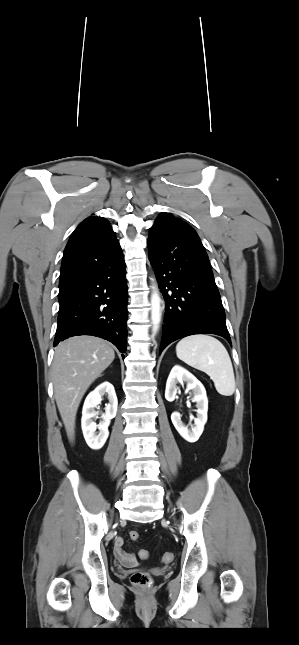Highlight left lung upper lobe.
I'll list each match as a JSON object with an SVG mask.
<instances>
[{
  "label": "left lung upper lobe",
  "mask_w": 299,
  "mask_h": 645,
  "mask_svg": "<svg viewBox=\"0 0 299 645\" xmlns=\"http://www.w3.org/2000/svg\"><path fill=\"white\" fill-rule=\"evenodd\" d=\"M171 220H177V218H175L170 213L162 212V213H160L159 217L156 219V221H155L153 226L162 225V224H165L166 222H169Z\"/></svg>",
  "instance_id": "left-lung-upper-lobe-1"
}]
</instances>
